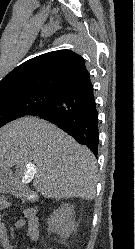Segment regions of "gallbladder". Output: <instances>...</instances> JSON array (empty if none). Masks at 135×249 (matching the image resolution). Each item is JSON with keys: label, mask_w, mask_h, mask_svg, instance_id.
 Listing matches in <instances>:
<instances>
[{"label": "gallbladder", "mask_w": 135, "mask_h": 249, "mask_svg": "<svg viewBox=\"0 0 135 249\" xmlns=\"http://www.w3.org/2000/svg\"><path fill=\"white\" fill-rule=\"evenodd\" d=\"M18 170H19L21 173H23V171L25 170V165H23V166H22V165H17V166H16V172H17Z\"/></svg>", "instance_id": "gallbladder-1"}]
</instances>
